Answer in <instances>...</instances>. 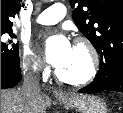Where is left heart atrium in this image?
Listing matches in <instances>:
<instances>
[{
    "label": "left heart atrium",
    "instance_id": "1",
    "mask_svg": "<svg viewBox=\"0 0 123 113\" xmlns=\"http://www.w3.org/2000/svg\"><path fill=\"white\" fill-rule=\"evenodd\" d=\"M47 61L56 68L63 66L71 57L73 47L64 34L47 38L44 42Z\"/></svg>",
    "mask_w": 123,
    "mask_h": 113
}]
</instances>
